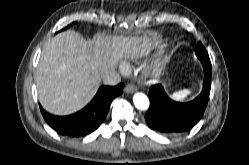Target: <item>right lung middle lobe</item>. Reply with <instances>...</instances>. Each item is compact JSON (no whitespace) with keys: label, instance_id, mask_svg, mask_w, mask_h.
Masks as SVG:
<instances>
[{"label":"right lung middle lobe","instance_id":"1","mask_svg":"<svg viewBox=\"0 0 249 165\" xmlns=\"http://www.w3.org/2000/svg\"><path fill=\"white\" fill-rule=\"evenodd\" d=\"M74 23H72V24H70V25H68L66 28H64V29H67V28H69L71 25H73Z\"/></svg>","mask_w":249,"mask_h":165}]
</instances>
